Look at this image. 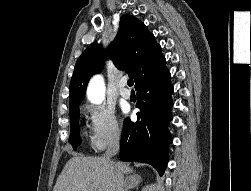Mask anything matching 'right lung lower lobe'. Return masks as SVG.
<instances>
[{
    "mask_svg": "<svg viewBox=\"0 0 251 191\" xmlns=\"http://www.w3.org/2000/svg\"><path fill=\"white\" fill-rule=\"evenodd\" d=\"M170 73L141 85L137 91L136 123L127 118L122 130L120 158L152 165L160 175L168 162V143L172 141L168 126L172 120L173 86Z\"/></svg>",
    "mask_w": 251,
    "mask_h": 191,
    "instance_id": "right-lung-lower-lobe-1",
    "label": "right lung lower lobe"
}]
</instances>
